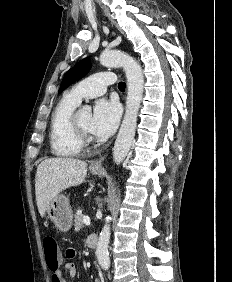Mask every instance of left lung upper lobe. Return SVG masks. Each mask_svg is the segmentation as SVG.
<instances>
[{
	"instance_id": "5c2ea615",
	"label": "left lung upper lobe",
	"mask_w": 232,
	"mask_h": 282,
	"mask_svg": "<svg viewBox=\"0 0 232 282\" xmlns=\"http://www.w3.org/2000/svg\"><path fill=\"white\" fill-rule=\"evenodd\" d=\"M91 68V62L89 58H85L82 61L78 62L73 68H71L63 78L61 86L59 88V93L64 89L70 86L75 81L84 77Z\"/></svg>"
}]
</instances>
